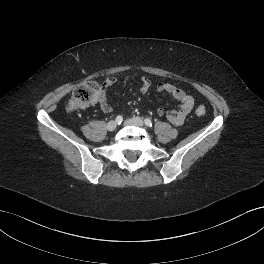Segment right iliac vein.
Returning a JSON list of instances; mask_svg holds the SVG:
<instances>
[{"label":"right iliac vein","mask_w":264,"mask_h":264,"mask_svg":"<svg viewBox=\"0 0 264 264\" xmlns=\"http://www.w3.org/2000/svg\"><path fill=\"white\" fill-rule=\"evenodd\" d=\"M116 127H117V122L116 121H110L107 124V129L109 131H114L116 129Z\"/></svg>","instance_id":"63e3f726"}]
</instances>
